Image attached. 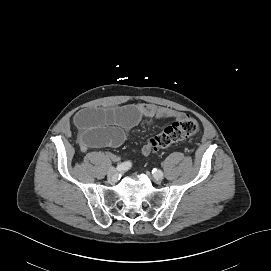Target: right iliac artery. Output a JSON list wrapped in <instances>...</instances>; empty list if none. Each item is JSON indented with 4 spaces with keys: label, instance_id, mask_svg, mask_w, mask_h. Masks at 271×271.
Returning <instances> with one entry per match:
<instances>
[{
    "label": "right iliac artery",
    "instance_id": "obj_1",
    "mask_svg": "<svg viewBox=\"0 0 271 271\" xmlns=\"http://www.w3.org/2000/svg\"><path fill=\"white\" fill-rule=\"evenodd\" d=\"M130 167H131V162L126 161V162L118 164L116 169L119 172H123V171H127Z\"/></svg>",
    "mask_w": 271,
    "mask_h": 271
}]
</instances>
